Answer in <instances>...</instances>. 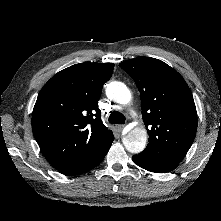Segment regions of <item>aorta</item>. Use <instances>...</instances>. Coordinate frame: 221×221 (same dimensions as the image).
Wrapping results in <instances>:
<instances>
[{
	"instance_id": "obj_1",
	"label": "aorta",
	"mask_w": 221,
	"mask_h": 221,
	"mask_svg": "<svg viewBox=\"0 0 221 221\" xmlns=\"http://www.w3.org/2000/svg\"><path fill=\"white\" fill-rule=\"evenodd\" d=\"M106 94L109 99L116 103L126 105L131 100V92L127 86L118 81L110 82L106 88ZM147 143V131L144 127L132 129L124 138L123 144L127 151L131 153L142 152Z\"/></svg>"
}]
</instances>
